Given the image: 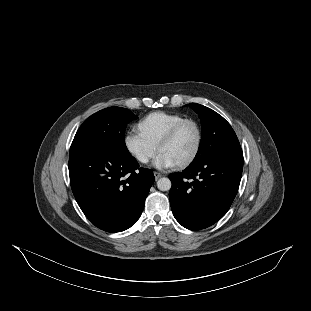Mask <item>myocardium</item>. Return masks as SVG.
I'll use <instances>...</instances> for the list:
<instances>
[{
  "mask_svg": "<svg viewBox=\"0 0 311 311\" xmlns=\"http://www.w3.org/2000/svg\"><path fill=\"white\" fill-rule=\"evenodd\" d=\"M188 121H194L197 124L198 131H199V140L197 144V148L194 152V154L186 161L178 164L180 168H187L194 164L199 156L201 155V152L203 150L204 141H205V129L201 122V120L195 116H186L180 119L176 124H174L170 130L162 137L160 142L157 145V151L160 152L161 148L165 145L171 143L179 133L181 127Z\"/></svg>",
  "mask_w": 311,
  "mask_h": 311,
  "instance_id": "f54148a6",
  "label": "myocardium"
}]
</instances>
